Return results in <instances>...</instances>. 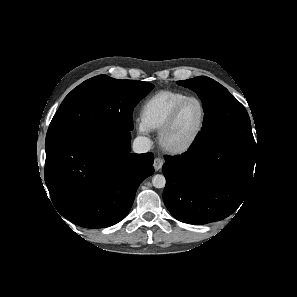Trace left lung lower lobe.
<instances>
[{"label":"left lung lower lobe","mask_w":297,"mask_h":297,"mask_svg":"<svg viewBox=\"0 0 297 297\" xmlns=\"http://www.w3.org/2000/svg\"><path fill=\"white\" fill-rule=\"evenodd\" d=\"M165 160L163 200L167 209L181 222L207 224L228 217L246 198L256 148L216 141Z\"/></svg>","instance_id":"obj_1"}]
</instances>
